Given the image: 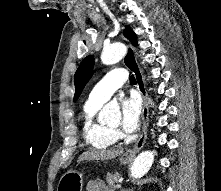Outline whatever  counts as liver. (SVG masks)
Segmentation results:
<instances>
[{
  "label": "liver",
  "instance_id": "6515ba94",
  "mask_svg": "<svg viewBox=\"0 0 221 191\" xmlns=\"http://www.w3.org/2000/svg\"><path fill=\"white\" fill-rule=\"evenodd\" d=\"M123 153V149H110V150H90L82 153L78 162L84 160H109L113 159Z\"/></svg>",
  "mask_w": 221,
  "mask_h": 191
}]
</instances>
